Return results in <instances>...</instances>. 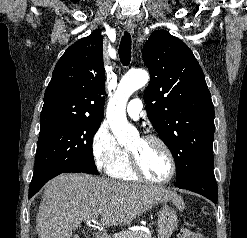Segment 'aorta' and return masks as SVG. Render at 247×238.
<instances>
[{
    "label": "aorta",
    "instance_id": "obj_1",
    "mask_svg": "<svg viewBox=\"0 0 247 238\" xmlns=\"http://www.w3.org/2000/svg\"><path fill=\"white\" fill-rule=\"evenodd\" d=\"M149 81L144 70L127 73L120 81L117 90L107 107V121L120 145H126L137 137L138 132L126 118V104L129 97Z\"/></svg>",
    "mask_w": 247,
    "mask_h": 238
}]
</instances>
